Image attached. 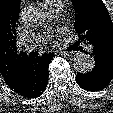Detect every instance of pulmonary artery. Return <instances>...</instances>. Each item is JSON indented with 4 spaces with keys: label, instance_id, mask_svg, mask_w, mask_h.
<instances>
[{
    "label": "pulmonary artery",
    "instance_id": "obj_1",
    "mask_svg": "<svg viewBox=\"0 0 113 113\" xmlns=\"http://www.w3.org/2000/svg\"><path fill=\"white\" fill-rule=\"evenodd\" d=\"M47 11L50 17H58L62 11L61 1H56L49 6H46ZM42 39L40 37L27 39L26 42L23 43V49L25 51H33L38 46H40Z\"/></svg>",
    "mask_w": 113,
    "mask_h": 113
}]
</instances>
